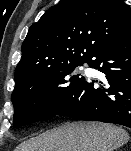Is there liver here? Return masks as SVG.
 <instances>
[{
    "instance_id": "obj_1",
    "label": "liver",
    "mask_w": 131,
    "mask_h": 151,
    "mask_svg": "<svg viewBox=\"0 0 131 151\" xmlns=\"http://www.w3.org/2000/svg\"><path fill=\"white\" fill-rule=\"evenodd\" d=\"M129 140V134L120 127L74 122L23 142L15 151H114Z\"/></svg>"
}]
</instances>
